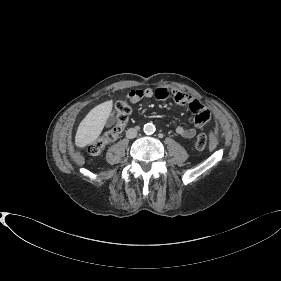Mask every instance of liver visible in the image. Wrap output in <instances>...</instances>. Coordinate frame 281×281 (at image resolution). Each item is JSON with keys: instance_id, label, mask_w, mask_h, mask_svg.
<instances>
[{"instance_id": "obj_1", "label": "liver", "mask_w": 281, "mask_h": 281, "mask_svg": "<svg viewBox=\"0 0 281 281\" xmlns=\"http://www.w3.org/2000/svg\"><path fill=\"white\" fill-rule=\"evenodd\" d=\"M113 107V101H105L94 107L78 126L75 145L83 148L95 141L101 134Z\"/></svg>"}]
</instances>
